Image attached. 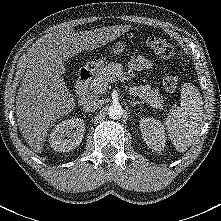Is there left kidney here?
Returning <instances> with one entry per match:
<instances>
[{"instance_id":"1","label":"left kidney","mask_w":221,"mask_h":221,"mask_svg":"<svg viewBox=\"0 0 221 221\" xmlns=\"http://www.w3.org/2000/svg\"><path fill=\"white\" fill-rule=\"evenodd\" d=\"M140 130L147 146L155 151H162L165 147V133L163 124L154 118H142Z\"/></svg>"}]
</instances>
